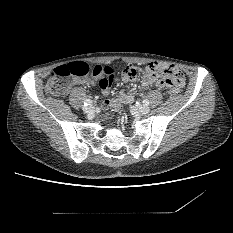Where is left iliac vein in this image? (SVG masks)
I'll return each instance as SVG.
<instances>
[{
    "label": "left iliac vein",
    "instance_id": "4c4485c4",
    "mask_svg": "<svg viewBox=\"0 0 233 233\" xmlns=\"http://www.w3.org/2000/svg\"><path fill=\"white\" fill-rule=\"evenodd\" d=\"M134 110H136L140 114H147V113H149L150 108L146 105L140 104V105L134 107Z\"/></svg>",
    "mask_w": 233,
    "mask_h": 233
}]
</instances>
